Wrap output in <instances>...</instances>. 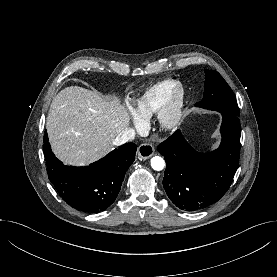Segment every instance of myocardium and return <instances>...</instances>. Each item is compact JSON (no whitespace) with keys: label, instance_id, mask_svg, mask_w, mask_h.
I'll use <instances>...</instances> for the list:
<instances>
[{"label":"myocardium","instance_id":"f54148a6","mask_svg":"<svg viewBox=\"0 0 277 277\" xmlns=\"http://www.w3.org/2000/svg\"><path fill=\"white\" fill-rule=\"evenodd\" d=\"M186 92L176 83L156 113L158 125L164 130H172L179 126L183 118Z\"/></svg>","mask_w":277,"mask_h":277}]
</instances>
